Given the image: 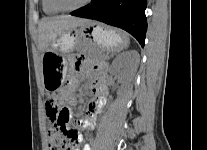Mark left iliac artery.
<instances>
[{"instance_id":"44dca946","label":"left iliac artery","mask_w":207,"mask_h":150,"mask_svg":"<svg viewBox=\"0 0 207 150\" xmlns=\"http://www.w3.org/2000/svg\"><path fill=\"white\" fill-rule=\"evenodd\" d=\"M84 150H91V149H90V146H89L88 144H86V145L84 146Z\"/></svg>"}]
</instances>
